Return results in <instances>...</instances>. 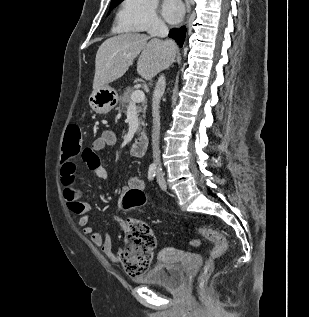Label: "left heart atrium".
Masks as SVG:
<instances>
[{
	"instance_id": "39dd6f15",
	"label": "left heart atrium",
	"mask_w": 309,
	"mask_h": 317,
	"mask_svg": "<svg viewBox=\"0 0 309 317\" xmlns=\"http://www.w3.org/2000/svg\"><path fill=\"white\" fill-rule=\"evenodd\" d=\"M162 14L169 23L179 22L184 15V6L181 0H164Z\"/></svg>"
}]
</instances>
